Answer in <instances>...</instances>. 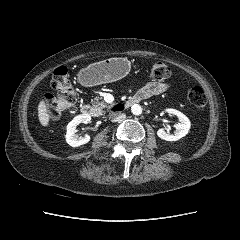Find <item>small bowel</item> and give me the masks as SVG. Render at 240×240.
Returning <instances> with one entry per match:
<instances>
[{"label":"small bowel","instance_id":"obj_1","mask_svg":"<svg viewBox=\"0 0 240 240\" xmlns=\"http://www.w3.org/2000/svg\"><path fill=\"white\" fill-rule=\"evenodd\" d=\"M171 88V84L167 82H149L142 87L137 93L142 96L143 99L162 94Z\"/></svg>","mask_w":240,"mask_h":240}]
</instances>
